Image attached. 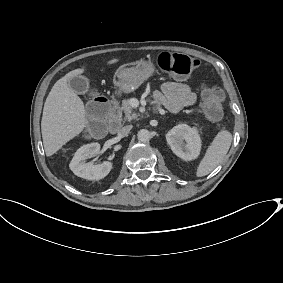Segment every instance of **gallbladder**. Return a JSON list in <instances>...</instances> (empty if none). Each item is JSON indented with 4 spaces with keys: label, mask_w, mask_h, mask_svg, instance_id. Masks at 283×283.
<instances>
[{
    "label": "gallbladder",
    "mask_w": 283,
    "mask_h": 283,
    "mask_svg": "<svg viewBox=\"0 0 283 283\" xmlns=\"http://www.w3.org/2000/svg\"><path fill=\"white\" fill-rule=\"evenodd\" d=\"M69 86L76 93L84 95L88 92L90 87V80L84 76H77L69 81Z\"/></svg>",
    "instance_id": "obj_1"
}]
</instances>
